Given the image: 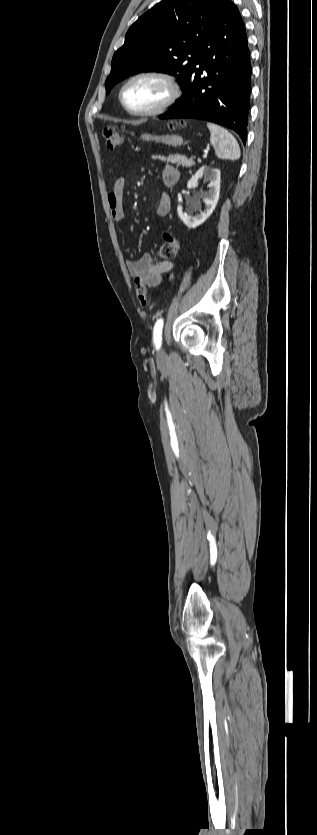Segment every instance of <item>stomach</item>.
Listing matches in <instances>:
<instances>
[{
	"mask_svg": "<svg viewBox=\"0 0 317 835\" xmlns=\"http://www.w3.org/2000/svg\"><path fill=\"white\" fill-rule=\"evenodd\" d=\"M141 139L145 141H154L156 143L166 144L168 146H180L183 143V138L179 135H162L156 136L148 133L141 135Z\"/></svg>",
	"mask_w": 317,
	"mask_h": 835,
	"instance_id": "0dacf381",
	"label": "stomach"
}]
</instances>
